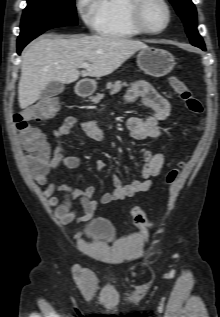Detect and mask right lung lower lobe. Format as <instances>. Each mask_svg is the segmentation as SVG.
<instances>
[{"label":"right lung lower lobe","mask_w":220,"mask_h":317,"mask_svg":"<svg viewBox=\"0 0 220 317\" xmlns=\"http://www.w3.org/2000/svg\"><path fill=\"white\" fill-rule=\"evenodd\" d=\"M43 32H44V31H43ZM43 32L37 33L36 35L32 36V37L29 38V39H26V40H24V41L18 42V44H17V48H18L17 53L20 54L21 50H22L31 40H33L34 38H36L38 35L42 34Z\"/></svg>","instance_id":"right-lung-lower-lobe-1"}]
</instances>
